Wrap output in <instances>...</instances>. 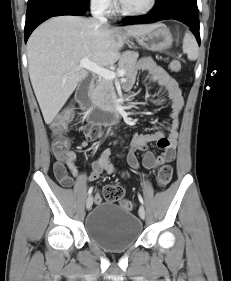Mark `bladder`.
<instances>
[{
    "mask_svg": "<svg viewBox=\"0 0 231 281\" xmlns=\"http://www.w3.org/2000/svg\"><path fill=\"white\" fill-rule=\"evenodd\" d=\"M88 237L105 250L117 252L133 246L142 234L141 221L129 211L111 203L97 205L87 215Z\"/></svg>",
    "mask_w": 231,
    "mask_h": 281,
    "instance_id": "obj_1",
    "label": "bladder"
}]
</instances>
